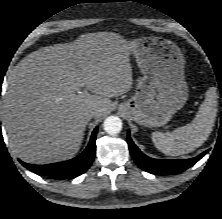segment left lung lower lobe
<instances>
[{
    "instance_id": "0a47b994",
    "label": "left lung lower lobe",
    "mask_w": 222,
    "mask_h": 219,
    "mask_svg": "<svg viewBox=\"0 0 222 219\" xmlns=\"http://www.w3.org/2000/svg\"><path fill=\"white\" fill-rule=\"evenodd\" d=\"M128 146L130 154L135 163L144 171L151 174L159 175L165 173H178L184 171L196 162H198L207 151L201 153L195 158L191 159H178V160H165V159H154L143 154L139 148L134 144L128 132Z\"/></svg>"
}]
</instances>
